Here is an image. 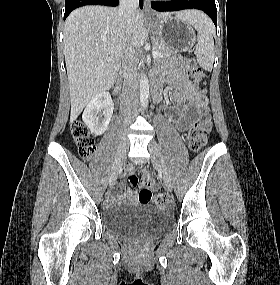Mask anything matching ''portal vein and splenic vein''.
<instances>
[{
    "label": "portal vein and splenic vein",
    "instance_id": "1",
    "mask_svg": "<svg viewBox=\"0 0 280 285\" xmlns=\"http://www.w3.org/2000/svg\"><path fill=\"white\" fill-rule=\"evenodd\" d=\"M152 57H153L154 59L158 58V57H159V53H158L156 50H153V51H152ZM111 60H112V57H109V58H108V61H111Z\"/></svg>",
    "mask_w": 280,
    "mask_h": 285
}]
</instances>
